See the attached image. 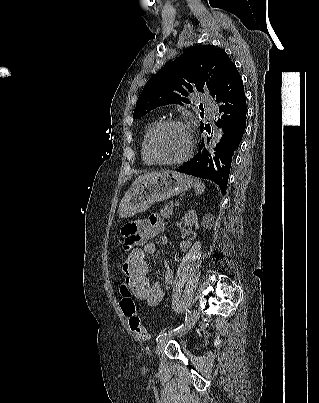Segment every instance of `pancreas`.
Instances as JSON below:
<instances>
[{"label": "pancreas", "mask_w": 319, "mask_h": 403, "mask_svg": "<svg viewBox=\"0 0 319 403\" xmlns=\"http://www.w3.org/2000/svg\"><path fill=\"white\" fill-rule=\"evenodd\" d=\"M173 212V206H165L163 209H161L160 215L164 218V219H169L170 216L172 215Z\"/></svg>", "instance_id": "1"}]
</instances>
